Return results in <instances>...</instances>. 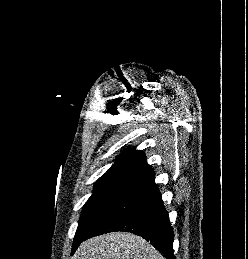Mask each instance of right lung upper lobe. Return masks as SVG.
Segmentation results:
<instances>
[{
    "mask_svg": "<svg viewBox=\"0 0 248 259\" xmlns=\"http://www.w3.org/2000/svg\"><path fill=\"white\" fill-rule=\"evenodd\" d=\"M154 175L147 164L144 153L126 149L110 169L97 181L96 185L106 183H124L131 186Z\"/></svg>",
    "mask_w": 248,
    "mask_h": 259,
    "instance_id": "cb5924a9",
    "label": "right lung upper lobe"
}]
</instances>
